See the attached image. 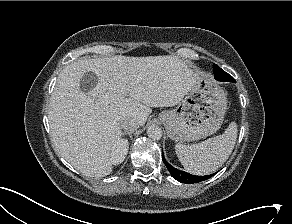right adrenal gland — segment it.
Instances as JSON below:
<instances>
[{
  "label": "right adrenal gland",
  "instance_id": "1",
  "mask_svg": "<svg viewBox=\"0 0 292 224\" xmlns=\"http://www.w3.org/2000/svg\"><path fill=\"white\" fill-rule=\"evenodd\" d=\"M122 135H128L132 139V132H122Z\"/></svg>",
  "mask_w": 292,
  "mask_h": 224
}]
</instances>
